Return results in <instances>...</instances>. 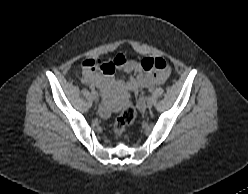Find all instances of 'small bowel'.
<instances>
[{
	"label": "small bowel",
	"mask_w": 248,
	"mask_h": 194,
	"mask_svg": "<svg viewBox=\"0 0 248 194\" xmlns=\"http://www.w3.org/2000/svg\"><path fill=\"white\" fill-rule=\"evenodd\" d=\"M146 60H129L122 53L116 54L110 62L87 59L82 63L79 77L83 83L97 87L105 98L113 91L137 92L143 88L164 84L170 76V66L167 64L163 71L145 70L143 64ZM117 72L124 73L128 78H118ZM101 113L108 116L109 105H102Z\"/></svg>",
	"instance_id": "obj_1"
}]
</instances>
